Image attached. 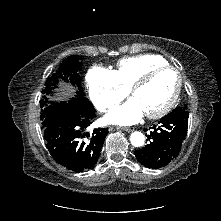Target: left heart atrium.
I'll list each match as a JSON object with an SVG mask.
<instances>
[{
    "instance_id": "39dd6f15",
    "label": "left heart atrium",
    "mask_w": 221,
    "mask_h": 221,
    "mask_svg": "<svg viewBox=\"0 0 221 221\" xmlns=\"http://www.w3.org/2000/svg\"><path fill=\"white\" fill-rule=\"evenodd\" d=\"M144 111L133 97L123 105L113 108L106 116V121L113 124L129 125L140 120Z\"/></svg>"
}]
</instances>
